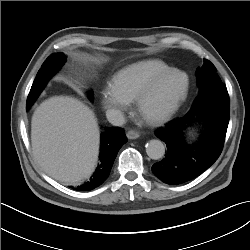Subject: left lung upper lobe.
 Listing matches in <instances>:
<instances>
[{
  "label": "left lung upper lobe",
  "mask_w": 250,
  "mask_h": 250,
  "mask_svg": "<svg viewBox=\"0 0 250 250\" xmlns=\"http://www.w3.org/2000/svg\"><path fill=\"white\" fill-rule=\"evenodd\" d=\"M196 76L199 86V93L206 88L222 84V81L216 73V68L210 61L206 59H204L203 66L196 71Z\"/></svg>",
  "instance_id": "1"
}]
</instances>
